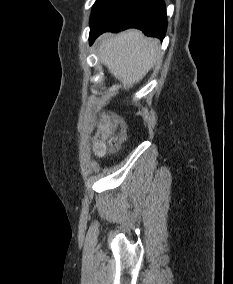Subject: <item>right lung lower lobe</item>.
Segmentation results:
<instances>
[{
  "label": "right lung lower lobe",
  "mask_w": 233,
  "mask_h": 284,
  "mask_svg": "<svg viewBox=\"0 0 233 284\" xmlns=\"http://www.w3.org/2000/svg\"><path fill=\"white\" fill-rule=\"evenodd\" d=\"M128 28H137L147 36L163 39L167 29L163 0H112L90 25V44L104 32Z\"/></svg>",
  "instance_id": "98d812e1"
}]
</instances>
